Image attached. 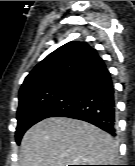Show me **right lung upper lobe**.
Here are the masks:
<instances>
[{"label": "right lung upper lobe", "instance_id": "right-lung-upper-lobe-1", "mask_svg": "<svg viewBox=\"0 0 135 166\" xmlns=\"http://www.w3.org/2000/svg\"><path fill=\"white\" fill-rule=\"evenodd\" d=\"M102 65L97 51L86 42H68L37 64L25 78L19 91V105L70 86Z\"/></svg>", "mask_w": 135, "mask_h": 166}]
</instances>
